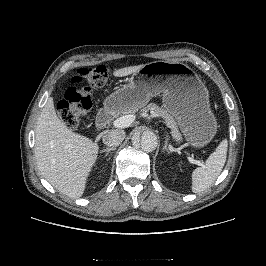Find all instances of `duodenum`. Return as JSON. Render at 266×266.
<instances>
[{"label":"duodenum","mask_w":266,"mask_h":266,"mask_svg":"<svg viewBox=\"0 0 266 266\" xmlns=\"http://www.w3.org/2000/svg\"><path fill=\"white\" fill-rule=\"evenodd\" d=\"M115 114V108L111 105H107L100 110L96 116V126L99 130L104 129L112 120Z\"/></svg>","instance_id":"1"}]
</instances>
